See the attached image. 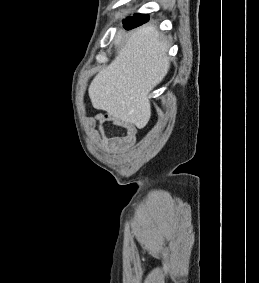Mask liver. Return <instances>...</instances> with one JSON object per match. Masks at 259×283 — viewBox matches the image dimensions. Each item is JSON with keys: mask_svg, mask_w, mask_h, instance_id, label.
I'll use <instances>...</instances> for the list:
<instances>
[{"mask_svg": "<svg viewBox=\"0 0 259 283\" xmlns=\"http://www.w3.org/2000/svg\"><path fill=\"white\" fill-rule=\"evenodd\" d=\"M122 37L119 31L116 45ZM168 48L154 26L134 31L115 59L90 84L88 92L93 107L144 128L151 117L150 92L170 68Z\"/></svg>", "mask_w": 259, "mask_h": 283, "instance_id": "obj_1", "label": "liver"}]
</instances>
